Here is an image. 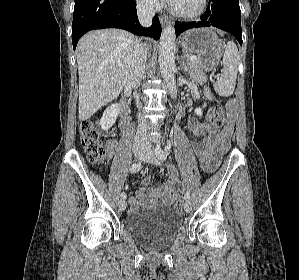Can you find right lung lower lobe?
<instances>
[{
  "mask_svg": "<svg viewBox=\"0 0 299 280\" xmlns=\"http://www.w3.org/2000/svg\"><path fill=\"white\" fill-rule=\"evenodd\" d=\"M102 28H120L136 35L159 39L161 25L157 16L149 28L138 21L135 0H75L72 22V42L75 50L78 40L86 32Z\"/></svg>",
  "mask_w": 299,
  "mask_h": 280,
  "instance_id": "1",
  "label": "right lung lower lobe"
}]
</instances>
